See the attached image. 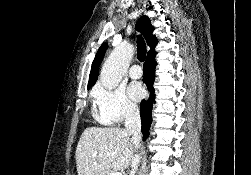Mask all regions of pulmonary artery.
Masks as SVG:
<instances>
[{"mask_svg":"<svg viewBox=\"0 0 251 175\" xmlns=\"http://www.w3.org/2000/svg\"><path fill=\"white\" fill-rule=\"evenodd\" d=\"M142 73H143L142 69L136 64L132 65L129 69V75L132 78H139L142 76Z\"/></svg>","mask_w":251,"mask_h":175,"instance_id":"e3ab8cb5","label":"pulmonary artery"}]
</instances>
